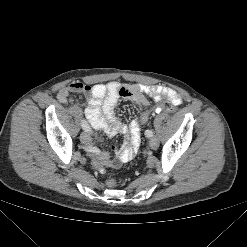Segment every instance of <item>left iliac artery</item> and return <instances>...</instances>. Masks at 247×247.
Listing matches in <instances>:
<instances>
[{
    "mask_svg": "<svg viewBox=\"0 0 247 247\" xmlns=\"http://www.w3.org/2000/svg\"><path fill=\"white\" fill-rule=\"evenodd\" d=\"M145 135H146V137H152L153 136V132L151 130H146L145 131Z\"/></svg>",
    "mask_w": 247,
    "mask_h": 247,
    "instance_id": "left-iliac-artery-1",
    "label": "left iliac artery"
}]
</instances>
